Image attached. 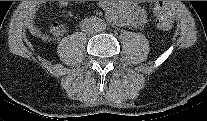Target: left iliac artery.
Listing matches in <instances>:
<instances>
[{
  "instance_id": "left-iliac-artery-1",
  "label": "left iliac artery",
  "mask_w": 207,
  "mask_h": 121,
  "mask_svg": "<svg viewBox=\"0 0 207 121\" xmlns=\"http://www.w3.org/2000/svg\"><path fill=\"white\" fill-rule=\"evenodd\" d=\"M101 26L104 27V23L103 22H101Z\"/></svg>"
}]
</instances>
